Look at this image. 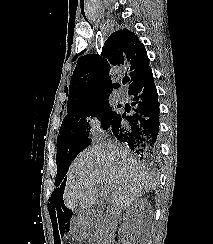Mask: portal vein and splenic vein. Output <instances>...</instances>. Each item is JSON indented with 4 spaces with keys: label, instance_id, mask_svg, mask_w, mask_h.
Listing matches in <instances>:
<instances>
[{
    "label": "portal vein and splenic vein",
    "instance_id": "18ae733b",
    "mask_svg": "<svg viewBox=\"0 0 213 244\" xmlns=\"http://www.w3.org/2000/svg\"><path fill=\"white\" fill-rule=\"evenodd\" d=\"M102 196H103V197H105V196H106V194H103V193H102Z\"/></svg>",
    "mask_w": 213,
    "mask_h": 244
}]
</instances>
